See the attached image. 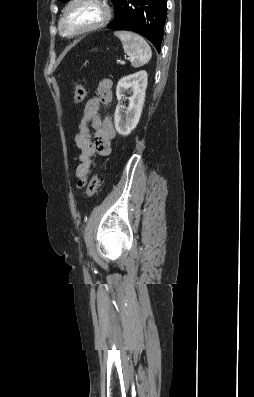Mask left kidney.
I'll list each match as a JSON object with an SVG mask.
<instances>
[{"instance_id":"obj_1","label":"left kidney","mask_w":254,"mask_h":397,"mask_svg":"<svg viewBox=\"0 0 254 397\" xmlns=\"http://www.w3.org/2000/svg\"><path fill=\"white\" fill-rule=\"evenodd\" d=\"M147 79V72L139 71L123 77L117 84L118 105L114 114V124L117 132L122 136H128L139 122L145 101ZM125 92L130 93L131 96L126 97ZM124 98L128 99L127 108L121 106Z\"/></svg>"}]
</instances>
